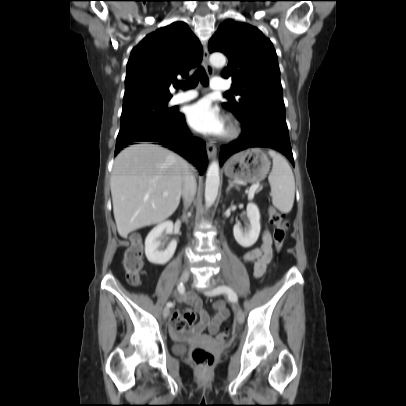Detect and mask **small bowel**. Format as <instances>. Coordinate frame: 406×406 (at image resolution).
Listing matches in <instances>:
<instances>
[{
	"instance_id": "small-bowel-1",
	"label": "small bowel",
	"mask_w": 406,
	"mask_h": 406,
	"mask_svg": "<svg viewBox=\"0 0 406 406\" xmlns=\"http://www.w3.org/2000/svg\"><path fill=\"white\" fill-rule=\"evenodd\" d=\"M242 258L245 262H253V276L257 279H263L266 274L267 266L272 258V240L270 233L264 231L261 237L260 246L247 251L243 254ZM179 301L192 306L199 315V321L191 331V334L195 336L201 335L206 328L209 335H215L218 332L220 325L227 319L229 314L225 303L218 300L213 304L215 314L213 317H210L202 301L192 292H188L179 297ZM171 333L176 337L184 335V332L176 331L172 328Z\"/></svg>"
}]
</instances>
